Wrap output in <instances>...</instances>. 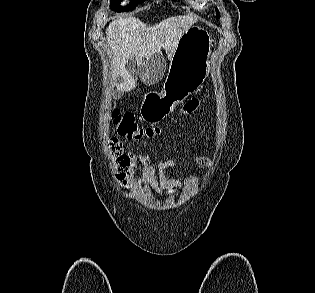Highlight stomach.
Masks as SVG:
<instances>
[{
  "instance_id": "0dacf381",
  "label": "stomach",
  "mask_w": 315,
  "mask_h": 293,
  "mask_svg": "<svg viewBox=\"0 0 315 293\" xmlns=\"http://www.w3.org/2000/svg\"><path fill=\"white\" fill-rule=\"evenodd\" d=\"M212 48L213 40L204 28L192 26L183 33L170 59L162 92L148 93L142 104L144 120L161 121L178 103L202 86L209 71Z\"/></svg>"
}]
</instances>
